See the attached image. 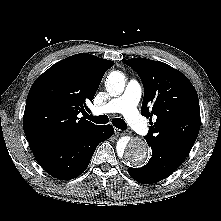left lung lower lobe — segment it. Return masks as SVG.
<instances>
[{"label": "left lung lower lobe", "mask_w": 221, "mask_h": 221, "mask_svg": "<svg viewBox=\"0 0 221 221\" xmlns=\"http://www.w3.org/2000/svg\"><path fill=\"white\" fill-rule=\"evenodd\" d=\"M152 149V157L141 168H128V173L136 181L152 184L171 175L185 160L181 155L165 146L148 143Z\"/></svg>", "instance_id": "1"}]
</instances>
